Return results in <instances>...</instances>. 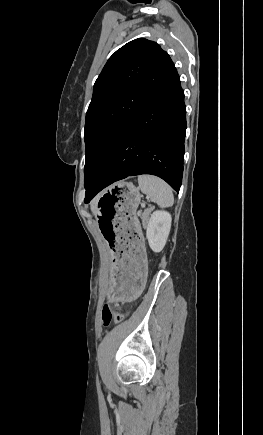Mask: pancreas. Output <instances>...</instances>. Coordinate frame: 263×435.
<instances>
[{
  "label": "pancreas",
  "instance_id": "obj_1",
  "mask_svg": "<svg viewBox=\"0 0 263 435\" xmlns=\"http://www.w3.org/2000/svg\"><path fill=\"white\" fill-rule=\"evenodd\" d=\"M151 210H152V207L149 206L147 209L144 210L143 213L140 214L143 226H146Z\"/></svg>",
  "mask_w": 263,
  "mask_h": 435
}]
</instances>
